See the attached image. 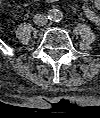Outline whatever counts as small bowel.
<instances>
[{"instance_id":"c3829d8e","label":"small bowel","mask_w":100,"mask_h":118,"mask_svg":"<svg viewBox=\"0 0 100 118\" xmlns=\"http://www.w3.org/2000/svg\"><path fill=\"white\" fill-rule=\"evenodd\" d=\"M49 2H56L57 0H48ZM95 7L100 10V0H95ZM84 13L86 17L95 24H100V14H98L90 6H83Z\"/></svg>"}]
</instances>
